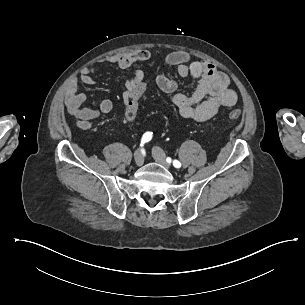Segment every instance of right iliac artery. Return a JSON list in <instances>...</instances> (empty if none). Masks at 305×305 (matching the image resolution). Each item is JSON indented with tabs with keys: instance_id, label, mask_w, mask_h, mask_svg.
Here are the masks:
<instances>
[{
	"instance_id": "82829eb1",
	"label": "right iliac artery",
	"mask_w": 305,
	"mask_h": 305,
	"mask_svg": "<svg viewBox=\"0 0 305 305\" xmlns=\"http://www.w3.org/2000/svg\"><path fill=\"white\" fill-rule=\"evenodd\" d=\"M152 134V132H146L141 139L140 146H143L146 142H149L152 139Z\"/></svg>"
}]
</instances>
